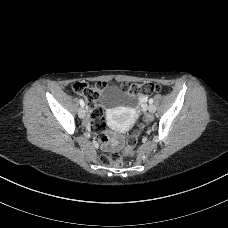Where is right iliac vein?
I'll list each match as a JSON object with an SVG mask.
<instances>
[{"instance_id":"1","label":"right iliac vein","mask_w":228,"mask_h":228,"mask_svg":"<svg viewBox=\"0 0 228 228\" xmlns=\"http://www.w3.org/2000/svg\"><path fill=\"white\" fill-rule=\"evenodd\" d=\"M78 116H79L81 119L85 118V116H86V111H85V109H84L83 107H81V108L78 110Z\"/></svg>"}]
</instances>
